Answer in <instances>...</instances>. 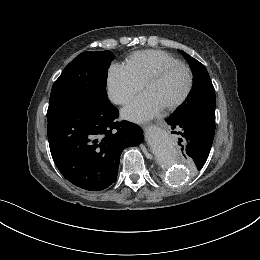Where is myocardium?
I'll return each instance as SVG.
<instances>
[{"label":"myocardium","mask_w":260,"mask_h":260,"mask_svg":"<svg viewBox=\"0 0 260 260\" xmlns=\"http://www.w3.org/2000/svg\"><path fill=\"white\" fill-rule=\"evenodd\" d=\"M176 69H184L188 76V85L184 91V93L173 103L167 105L164 107L165 110L171 111L179 107L190 95L193 85H194V75L192 69L185 63L178 62L169 64L166 66H163L159 70H157L155 73L150 75L145 82L143 83V88L145 89L148 85L156 83L160 80H162L165 76H167L170 72L176 70Z\"/></svg>","instance_id":"myocardium-1"}]
</instances>
